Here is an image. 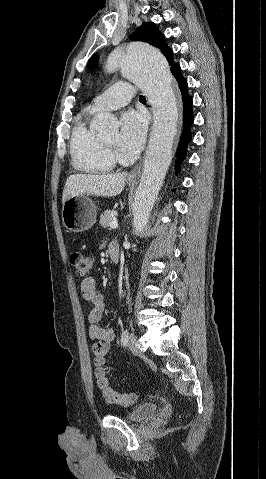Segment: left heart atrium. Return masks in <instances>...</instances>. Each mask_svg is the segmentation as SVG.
I'll list each match as a JSON object with an SVG mask.
<instances>
[{
  "mask_svg": "<svg viewBox=\"0 0 266 479\" xmlns=\"http://www.w3.org/2000/svg\"><path fill=\"white\" fill-rule=\"evenodd\" d=\"M147 132V119L142 112L130 110L122 116L118 144L126 154H136L142 148Z\"/></svg>",
  "mask_w": 266,
  "mask_h": 479,
  "instance_id": "obj_1",
  "label": "left heart atrium"
}]
</instances>
